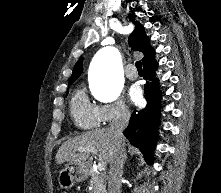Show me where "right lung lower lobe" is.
I'll return each instance as SVG.
<instances>
[{"label": "right lung lower lobe", "instance_id": "right-lung-lower-lobe-1", "mask_svg": "<svg viewBox=\"0 0 221 193\" xmlns=\"http://www.w3.org/2000/svg\"><path fill=\"white\" fill-rule=\"evenodd\" d=\"M157 63L144 66L145 99L147 105L142 110H134L129 125L123 134L135 147L139 148L148 163L153 162V152L158 137L157 127L159 125L161 92L158 91L157 80L153 79ZM153 80V82H151Z\"/></svg>", "mask_w": 221, "mask_h": 193}]
</instances>
